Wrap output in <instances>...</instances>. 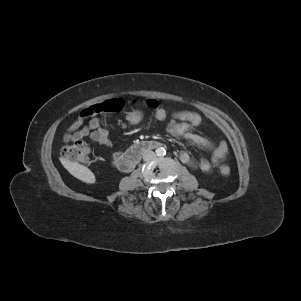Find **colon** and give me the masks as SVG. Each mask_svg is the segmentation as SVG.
<instances>
[{
  "mask_svg": "<svg viewBox=\"0 0 301 301\" xmlns=\"http://www.w3.org/2000/svg\"><path fill=\"white\" fill-rule=\"evenodd\" d=\"M145 103L147 106L152 107L153 109L157 110L158 108H160L159 103L155 100H147ZM124 105L125 101L122 98H113L84 109L80 113V116L83 118H88L98 113L117 112L120 111L124 107ZM172 115L174 118L179 120L181 119L183 122L190 123L195 127L200 126L203 120L198 113L192 110H184L182 112L176 110L173 112ZM90 155V147L82 141H76L71 145H67L62 150V156L65 159L78 163L89 162ZM219 170L223 175H227L230 173V167L228 165H221Z\"/></svg>",
  "mask_w": 301,
  "mask_h": 301,
  "instance_id": "5ec220e1",
  "label": "colon"
}]
</instances>
